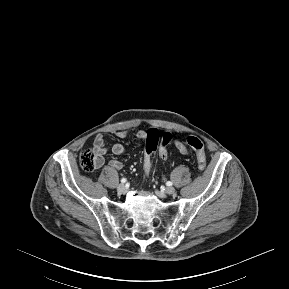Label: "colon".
I'll return each instance as SVG.
<instances>
[{"label":"colon","mask_w":289,"mask_h":289,"mask_svg":"<svg viewBox=\"0 0 289 289\" xmlns=\"http://www.w3.org/2000/svg\"><path fill=\"white\" fill-rule=\"evenodd\" d=\"M173 136L167 132L163 135L152 128L147 131L144 139V153L142 158L143 171L146 175L149 174L152 168L153 154L157 151L161 159L165 160L168 156V145L172 142ZM186 143L191 147L197 155L198 168L204 170L206 168V154L203 142L195 136H190L186 139ZM80 165L85 171H93L97 168L98 158L95 152L84 150L79 157Z\"/></svg>","instance_id":"colon-1"}]
</instances>
